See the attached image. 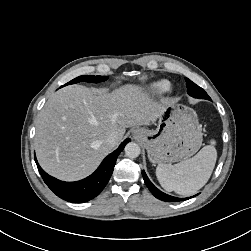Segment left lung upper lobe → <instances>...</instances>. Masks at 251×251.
Masks as SVG:
<instances>
[{
	"instance_id": "5c2ea615",
	"label": "left lung upper lobe",
	"mask_w": 251,
	"mask_h": 251,
	"mask_svg": "<svg viewBox=\"0 0 251 251\" xmlns=\"http://www.w3.org/2000/svg\"><path fill=\"white\" fill-rule=\"evenodd\" d=\"M185 81H186V85H187V92H188V94L190 96H192L194 98H198V99L211 100V98L204 91V89H202L201 87H199L198 85H196L195 83H193L188 78H185Z\"/></svg>"
}]
</instances>
